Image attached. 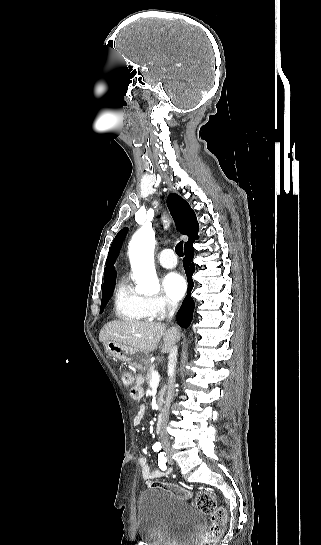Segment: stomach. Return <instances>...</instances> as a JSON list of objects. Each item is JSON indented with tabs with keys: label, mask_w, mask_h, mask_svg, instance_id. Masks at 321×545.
Wrapping results in <instances>:
<instances>
[{
	"label": "stomach",
	"mask_w": 321,
	"mask_h": 545,
	"mask_svg": "<svg viewBox=\"0 0 321 545\" xmlns=\"http://www.w3.org/2000/svg\"><path fill=\"white\" fill-rule=\"evenodd\" d=\"M106 353L112 355L114 359L118 361H123V363H129L134 369L138 371H146L150 365L149 353H142V351H137V349H132L128 345H121V343H114V341H106L104 343Z\"/></svg>",
	"instance_id": "0dacf381"
}]
</instances>
